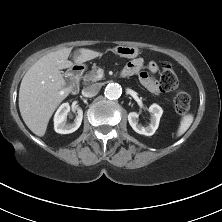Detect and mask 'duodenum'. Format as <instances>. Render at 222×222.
Instances as JSON below:
<instances>
[{"label":"duodenum","instance_id":"duodenum-1","mask_svg":"<svg viewBox=\"0 0 222 222\" xmlns=\"http://www.w3.org/2000/svg\"><path fill=\"white\" fill-rule=\"evenodd\" d=\"M83 74V67L82 66H74L70 71L71 77V92L72 94H77L80 90V78ZM124 76L123 73H121Z\"/></svg>","mask_w":222,"mask_h":222}]
</instances>
